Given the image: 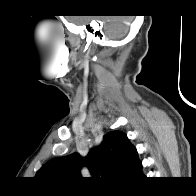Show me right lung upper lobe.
Segmentation results:
<instances>
[{"label":"right lung upper lobe","mask_w":196,"mask_h":196,"mask_svg":"<svg viewBox=\"0 0 196 196\" xmlns=\"http://www.w3.org/2000/svg\"><path fill=\"white\" fill-rule=\"evenodd\" d=\"M86 165L95 178L134 181L142 174V163L127 135L111 131L104 135L102 144L93 149L86 158L73 153L64 158L47 162L37 172L36 177L48 185H63L79 179L80 168Z\"/></svg>","instance_id":"cb5924a9"}]
</instances>
